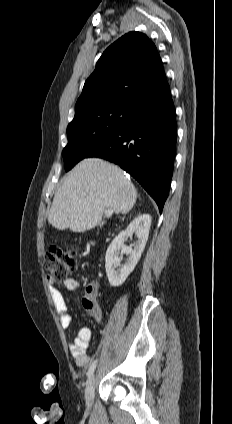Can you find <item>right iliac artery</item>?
Instances as JSON below:
<instances>
[{"label":"right iliac artery","mask_w":232,"mask_h":424,"mask_svg":"<svg viewBox=\"0 0 232 424\" xmlns=\"http://www.w3.org/2000/svg\"><path fill=\"white\" fill-rule=\"evenodd\" d=\"M97 362H98V360L96 359V360H94V361L92 362V364L90 365V368H89L88 373H87V377H88V378H90V377L92 376V374H93V372H94V370H95V368H96Z\"/></svg>","instance_id":"obj_1"}]
</instances>
